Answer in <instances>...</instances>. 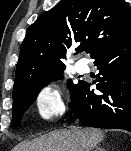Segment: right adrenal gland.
<instances>
[{"instance_id":"1","label":"right adrenal gland","mask_w":131,"mask_h":151,"mask_svg":"<svg viewBox=\"0 0 131 151\" xmlns=\"http://www.w3.org/2000/svg\"><path fill=\"white\" fill-rule=\"evenodd\" d=\"M94 151H106V150L102 147L95 146Z\"/></svg>"}]
</instances>
